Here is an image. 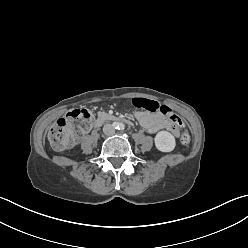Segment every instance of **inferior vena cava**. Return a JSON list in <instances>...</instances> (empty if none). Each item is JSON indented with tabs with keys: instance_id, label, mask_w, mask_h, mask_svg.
Masks as SVG:
<instances>
[{
	"instance_id": "602c4592",
	"label": "inferior vena cava",
	"mask_w": 248,
	"mask_h": 248,
	"mask_svg": "<svg viewBox=\"0 0 248 248\" xmlns=\"http://www.w3.org/2000/svg\"><path fill=\"white\" fill-rule=\"evenodd\" d=\"M103 132L106 135H112L115 133V127L112 124H105L103 127Z\"/></svg>"
}]
</instances>
